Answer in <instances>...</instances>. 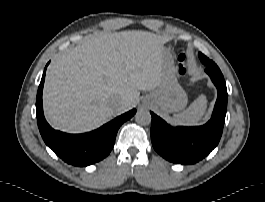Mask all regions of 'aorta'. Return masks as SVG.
<instances>
[{"instance_id": "aorta-1", "label": "aorta", "mask_w": 265, "mask_h": 202, "mask_svg": "<svg viewBox=\"0 0 265 202\" xmlns=\"http://www.w3.org/2000/svg\"><path fill=\"white\" fill-rule=\"evenodd\" d=\"M135 120L139 124L148 125L151 122V114L147 110L140 109L135 115Z\"/></svg>"}]
</instances>
